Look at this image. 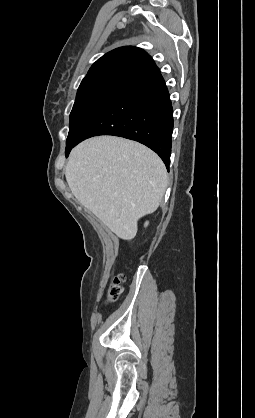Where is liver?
Listing matches in <instances>:
<instances>
[{
	"instance_id": "6515ba94",
	"label": "liver",
	"mask_w": 255,
	"mask_h": 418,
	"mask_svg": "<svg viewBox=\"0 0 255 418\" xmlns=\"http://www.w3.org/2000/svg\"><path fill=\"white\" fill-rule=\"evenodd\" d=\"M65 176L76 199L124 240L136 236L137 221L158 208L167 187V171L156 153L114 136L76 146Z\"/></svg>"
}]
</instances>
